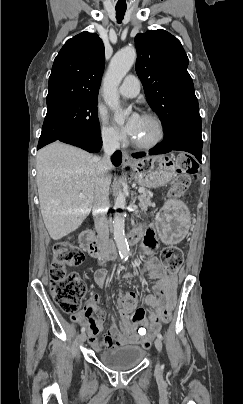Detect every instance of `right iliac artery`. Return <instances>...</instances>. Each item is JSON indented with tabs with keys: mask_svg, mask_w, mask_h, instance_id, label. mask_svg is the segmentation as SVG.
Returning a JSON list of instances; mask_svg holds the SVG:
<instances>
[{
	"mask_svg": "<svg viewBox=\"0 0 243 404\" xmlns=\"http://www.w3.org/2000/svg\"><path fill=\"white\" fill-rule=\"evenodd\" d=\"M84 331H85V328H84V327H82V328H81V332H84Z\"/></svg>",
	"mask_w": 243,
	"mask_h": 404,
	"instance_id": "obj_1",
	"label": "right iliac artery"
}]
</instances>
